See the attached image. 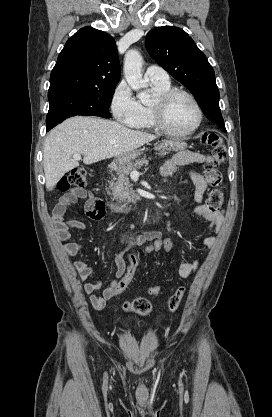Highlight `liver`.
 Instances as JSON below:
<instances>
[{
    "label": "liver",
    "instance_id": "6515ba94",
    "mask_svg": "<svg viewBox=\"0 0 272 417\" xmlns=\"http://www.w3.org/2000/svg\"><path fill=\"white\" fill-rule=\"evenodd\" d=\"M156 138L111 120L69 118L46 137L43 150L46 185L52 188L65 173L79 166L78 160L72 159L74 154H83V163L90 165L131 152Z\"/></svg>",
    "mask_w": 272,
    "mask_h": 417
}]
</instances>
